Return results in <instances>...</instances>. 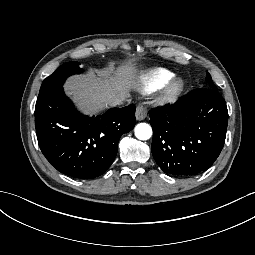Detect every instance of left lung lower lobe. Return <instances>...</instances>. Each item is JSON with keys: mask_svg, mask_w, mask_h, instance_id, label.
Returning a JSON list of instances; mask_svg holds the SVG:
<instances>
[{"mask_svg": "<svg viewBox=\"0 0 255 255\" xmlns=\"http://www.w3.org/2000/svg\"><path fill=\"white\" fill-rule=\"evenodd\" d=\"M151 151L168 174L194 176L219 156L226 137L228 110L217 89H196L173 105L149 111Z\"/></svg>", "mask_w": 255, "mask_h": 255, "instance_id": "left-lung-lower-lobe-1", "label": "left lung lower lobe"}]
</instances>
